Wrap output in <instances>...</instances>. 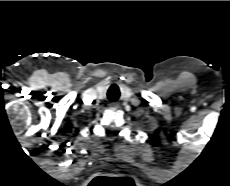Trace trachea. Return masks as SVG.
I'll return each mask as SVG.
<instances>
[{"label": "trachea", "mask_w": 230, "mask_h": 186, "mask_svg": "<svg viewBox=\"0 0 230 186\" xmlns=\"http://www.w3.org/2000/svg\"><path fill=\"white\" fill-rule=\"evenodd\" d=\"M116 86L115 85H112L109 90H108V93H107V96L110 100H113L112 97L114 96V90H115Z\"/></svg>", "instance_id": "trachea-1"}]
</instances>
